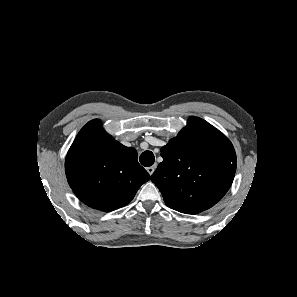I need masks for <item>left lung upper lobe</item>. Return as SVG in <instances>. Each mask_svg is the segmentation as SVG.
<instances>
[{"mask_svg": "<svg viewBox=\"0 0 297 297\" xmlns=\"http://www.w3.org/2000/svg\"><path fill=\"white\" fill-rule=\"evenodd\" d=\"M151 176L166 205L186 214L214 206L229 190L236 153L229 139L205 120L192 116L187 126L162 147Z\"/></svg>", "mask_w": 297, "mask_h": 297, "instance_id": "1", "label": "left lung upper lobe"}]
</instances>
